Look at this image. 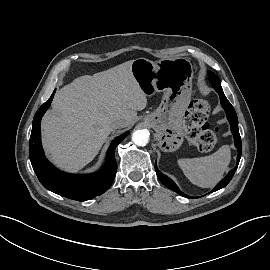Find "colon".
Segmentation results:
<instances>
[{"instance_id":"5ec220e1","label":"colon","mask_w":270,"mask_h":270,"mask_svg":"<svg viewBox=\"0 0 270 270\" xmlns=\"http://www.w3.org/2000/svg\"><path fill=\"white\" fill-rule=\"evenodd\" d=\"M210 106L205 100L193 101L187 108L184 117L186 138L200 151H210L218 141L220 127L210 129L207 124Z\"/></svg>"}]
</instances>
